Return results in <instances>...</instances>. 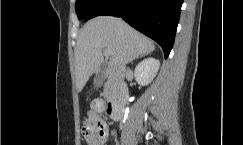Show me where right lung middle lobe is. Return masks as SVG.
I'll use <instances>...</instances> for the list:
<instances>
[{"label": "right lung middle lobe", "mask_w": 243, "mask_h": 145, "mask_svg": "<svg viewBox=\"0 0 243 145\" xmlns=\"http://www.w3.org/2000/svg\"><path fill=\"white\" fill-rule=\"evenodd\" d=\"M100 0H76L75 10L78 19H84L88 11Z\"/></svg>", "instance_id": "dd1d6c3e"}]
</instances>
